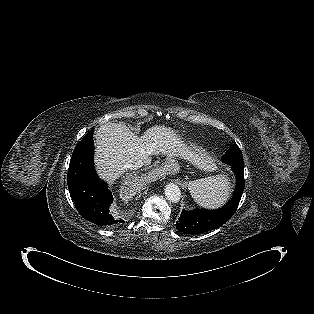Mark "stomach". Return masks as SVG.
Masks as SVG:
<instances>
[{
    "label": "stomach",
    "mask_w": 314,
    "mask_h": 314,
    "mask_svg": "<svg viewBox=\"0 0 314 314\" xmlns=\"http://www.w3.org/2000/svg\"><path fill=\"white\" fill-rule=\"evenodd\" d=\"M166 164L169 165L173 169H178V163L175 161L174 158L167 159Z\"/></svg>",
    "instance_id": "1"
}]
</instances>
